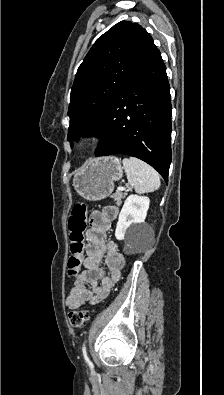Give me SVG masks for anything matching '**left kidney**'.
Instances as JSON below:
<instances>
[{
  "label": "left kidney",
  "instance_id": "1",
  "mask_svg": "<svg viewBox=\"0 0 224 395\" xmlns=\"http://www.w3.org/2000/svg\"><path fill=\"white\" fill-rule=\"evenodd\" d=\"M150 200L146 196L132 194L127 197L119 214L115 236L118 240H123L127 231L136 237H141L144 233L143 226Z\"/></svg>",
  "mask_w": 224,
  "mask_h": 395
}]
</instances>
